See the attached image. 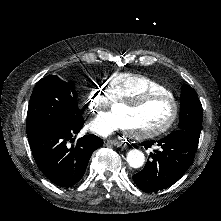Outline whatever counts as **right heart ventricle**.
<instances>
[{
	"instance_id": "obj_1",
	"label": "right heart ventricle",
	"mask_w": 221,
	"mask_h": 221,
	"mask_svg": "<svg viewBox=\"0 0 221 221\" xmlns=\"http://www.w3.org/2000/svg\"><path fill=\"white\" fill-rule=\"evenodd\" d=\"M146 91L152 93L155 91L160 92L165 96L169 93L164 84L146 76H135L130 78V80L122 86L120 93L122 99H131L132 96Z\"/></svg>"
}]
</instances>
